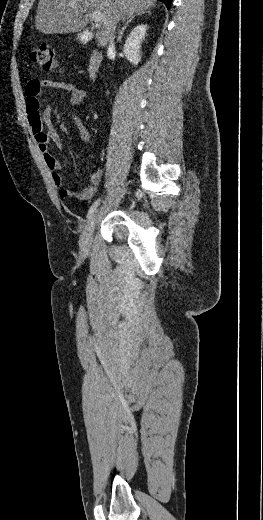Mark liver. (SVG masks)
Returning a JSON list of instances; mask_svg holds the SVG:
<instances>
[{"instance_id":"1","label":"liver","mask_w":263,"mask_h":520,"mask_svg":"<svg viewBox=\"0 0 263 520\" xmlns=\"http://www.w3.org/2000/svg\"><path fill=\"white\" fill-rule=\"evenodd\" d=\"M156 0H39L35 27L44 34L74 33L84 29L99 12L98 42L106 46L120 21L155 7Z\"/></svg>"}]
</instances>
